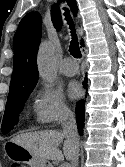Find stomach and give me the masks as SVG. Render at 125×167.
I'll use <instances>...</instances> for the list:
<instances>
[{"mask_svg":"<svg viewBox=\"0 0 125 167\" xmlns=\"http://www.w3.org/2000/svg\"><path fill=\"white\" fill-rule=\"evenodd\" d=\"M4 149L6 155L12 161L28 164L30 167H51L47 160L35 156L23 146L12 141L6 143Z\"/></svg>","mask_w":125,"mask_h":167,"instance_id":"stomach-1","label":"stomach"}]
</instances>
